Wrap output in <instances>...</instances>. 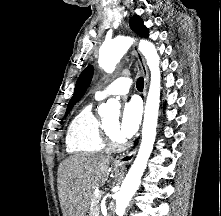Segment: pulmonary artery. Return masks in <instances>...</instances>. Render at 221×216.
Masks as SVG:
<instances>
[{"instance_id": "pulmonary-artery-1", "label": "pulmonary artery", "mask_w": 221, "mask_h": 216, "mask_svg": "<svg viewBox=\"0 0 221 216\" xmlns=\"http://www.w3.org/2000/svg\"><path fill=\"white\" fill-rule=\"evenodd\" d=\"M132 85V79L128 76L119 77L108 85H106L103 89L98 90L95 93V98L97 100H103L111 95H124L129 92V89Z\"/></svg>"}]
</instances>
